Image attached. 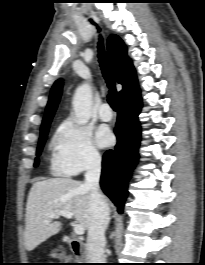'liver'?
I'll list each match as a JSON object with an SVG mask.
<instances>
[{"label": "liver", "instance_id": "obj_1", "mask_svg": "<svg viewBox=\"0 0 205 265\" xmlns=\"http://www.w3.org/2000/svg\"><path fill=\"white\" fill-rule=\"evenodd\" d=\"M62 210L70 211L76 222L88 229L91 218L90 189L70 178H52L32 185L25 215L24 241L28 251L61 230V223L53 222L48 217Z\"/></svg>", "mask_w": 205, "mask_h": 265}]
</instances>
